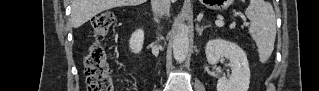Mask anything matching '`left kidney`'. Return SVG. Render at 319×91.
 <instances>
[{
    "instance_id": "5707ae66",
    "label": "left kidney",
    "mask_w": 319,
    "mask_h": 91,
    "mask_svg": "<svg viewBox=\"0 0 319 91\" xmlns=\"http://www.w3.org/2000/svg\"><path fill=\"white\" fill-rule=\"evenodd\" d=\"M207 61L216 65L220 58L230 60L232 74L229 79L219 78L217 91H248L250 68L245 52L236 43L221 38L209 40L205 47Z\"/></svg>"
}]
</instances>
